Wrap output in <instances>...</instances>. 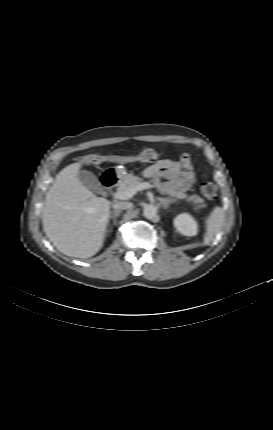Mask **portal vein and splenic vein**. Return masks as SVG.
I'll return each instance as SVG.
<instances>
[{
    "label": "portal vein and splenic vein",
    "mask_w": 273,
    "mask_h": 430,
    "mask_svg": "<svg viewBox=\"0 0 273 430\" xmlns=\"http://www.w3.org/2000/svg\"><path fill=\"white\" fill-rule=\"evenodd\" d=\"M151 185L148 182L139 183L135 187H131L125 191H117L114 193L115 198L120 200H126L133 197L138 191L149 189Z\"/></svg>",
    "instance_id": "obj_1"
}]
</instances>
